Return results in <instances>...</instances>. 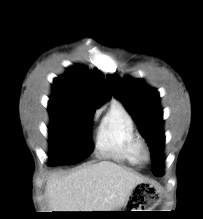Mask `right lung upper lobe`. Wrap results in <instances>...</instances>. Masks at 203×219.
<instances>
[{
  "label": "right lung upper lobe",
  "instance_id": "obj_1",
  "mask_svg": "<svg viewBox=\"0 0 203 219\" xmlns=\"http://www.w3.org/2000/svg\"><path fill=\"white\" fill-rule=\"evenodd\" d=\"M51 97L82 103L95 111L111 97L103 75L98 70L90 72L82 65L70 67L54 79Z\"/></svg>",
  "mask_w": 203,
  "mask_h": 219
}]
</instances>
